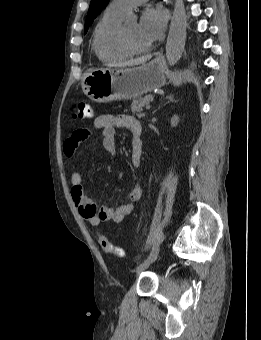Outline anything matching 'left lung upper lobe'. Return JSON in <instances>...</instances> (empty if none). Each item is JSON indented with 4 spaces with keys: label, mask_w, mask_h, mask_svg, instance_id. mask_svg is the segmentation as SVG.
Here are the masks:
<instances>
[{
    "label": "left lung upper lobe",
    "mask_w": 261,
    "mask_h": 340,
    "mask_svg": "<svg viewBox=\"0 0 261 340\" xmlns=\"http://www.w3.org/2000/svg\"><path fill=\"white\" fill-rule=\"evenodd\" d=\"M108 0H91L88 14L86 17L84 33L86 34L89 26L93 23L94 19L101 12Z\"/></svg>",
    "instance_id": "5c2ea615"
}]
</instances>
